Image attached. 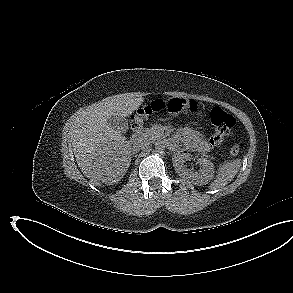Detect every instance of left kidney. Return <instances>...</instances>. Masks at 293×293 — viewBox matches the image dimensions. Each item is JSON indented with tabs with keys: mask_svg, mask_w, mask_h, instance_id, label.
<instances>
[{
	"mask_svg": "<svg viewBox=\"0 0 293 293\" xmlns=\"http://www.w3.org/2000/svg\"><path fill=\"white\" fill-rule=\"evenodd\" d=\"M190 159L191 155L189 153L176 154L173 156V166L175 167L176 172L179 176L186 178L193 184H207L213 177L214 164L206 158H199L197 159V163L200 165V170L194 172L187 169L184 165V162Z\"/></svg>",
	"mask_w": 293,
	"mask_h": 293,
	"instance_id": "left-kidney-1",
	"label": "left kidney"
}]
</instances>
